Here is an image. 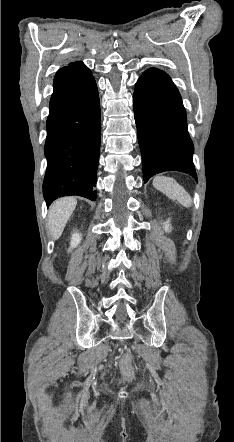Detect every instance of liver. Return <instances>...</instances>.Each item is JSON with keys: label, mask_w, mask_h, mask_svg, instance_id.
<instances>
[{"label": "liver", "mask_w": 234, "mask_h": 442, "mask_svg": "<svg viewBox=\"0 0 234 442\" xmlns=\"http://www.w3.org/2000/svg\"><path fill=\"white\" fill-rule=\"evenodd\" d=\"M77 205L74 197H65L56 200L50 207L48 229L53 239H58Z\"/></svg>", "instance_id": "obj_1"}]
</instances>
